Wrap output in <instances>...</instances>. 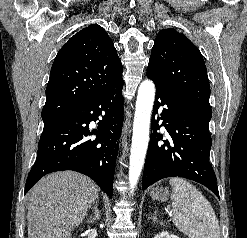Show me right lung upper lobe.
Instances as JSON below:
<instances>
[{"mask_svg": "<svg viewBox=\"0 0 247 238\" xmlns=\"http://www.w3.org/2000/svg\"><path fill=\"white\" fill-rule=\"evenodd\" d=\"M123 67L105 30L91 24L58 52L46 88L43 121L54 120L122 81Z\"/></svg>", "mask_w": 247, "mask_h": 238, "instance_id": "right-lung-upper-lobe-1", "label": "right lung upper lobe"}]
</instances>
